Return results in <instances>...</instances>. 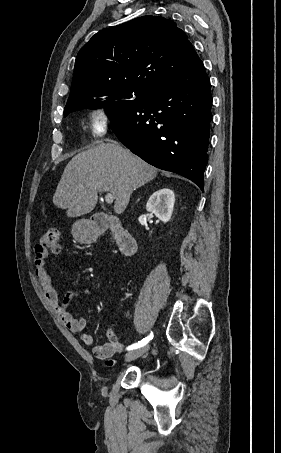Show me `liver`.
<instances>
[{
	"label": "liver",
	"instance_id": "liver-1",
	"mask_svg": "<svg viewBox=\"0 0 281 453\" xmlns=\"http://www.w3.org/2000/svg\"><path fill=\"white\" fill-rule=\"evenodd\" d=\"M158 168L123 148L117 140L99 142L78 152L68 162L54 192L53 202L67 216H83L95 208L98 190L115 198L114 210L124 212L133 190L156 178Z\"/></svg>",
	"mask_w": 281,
	"mask_h": 453
}]
</instances>
